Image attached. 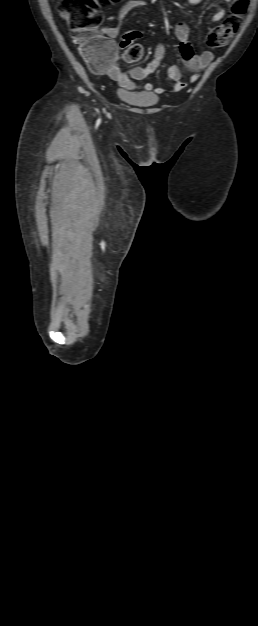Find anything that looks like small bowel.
Segmentation results:
<instances>
[{"label":"small bowel","mask_w":258,"mask_h":626,"mask_svg":"<svg viewBox=\"0 0 258 626\" xmlns=\"http://www.w3.org/2000/svg\"><path fill=\"white\" fill-rule=\"evenodd\" d=\"M189 4L196 5L200 3L202 0H187ZM226 2H230L231 0H225ZM145 0H129L127 1L118 11L115 20L120 22L124 19V17L133 9L146 5ZM225 16L224 9H219L212 15V20L217 22L220 21ZM105 34L108 38L107 42L111 43V40L116 38L119 34V29L117 27H109L105 30ZM175 35L180 42L179 51L181 55V59L185 67L193 72L192 76L197 78V73L203 70L205 67L209 65V63L213 60L214 55L211 51H204L201 54H196L193 51V47L189 41V28L185 23H177L175 26ZM165 55V45L160 43L157 45L154 53V58L150 61L145 67H134L130 70L129 73L122 71L119 66V63L116 59H112L105 63L102 68L106 75H108L112 80L116 81L121 87L125 89H134L136 86L134 84L135 80H143L149 74L153 73L160 65ZM168 78L173 82L170 87V92H179L185 88L186 83L182 80V72L179 67L171 66L167 70ZM142 89L145 91H151L156 94H161L164 92L163 88H154L152 83L146 82L142 85Z\"/></svg>","instance_id":"c3829d8e"}]
</instances>
